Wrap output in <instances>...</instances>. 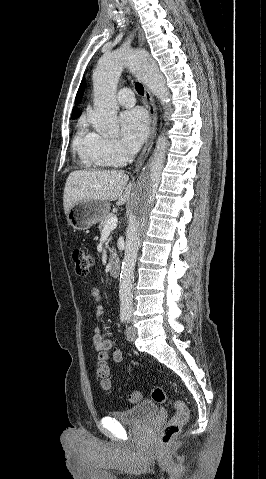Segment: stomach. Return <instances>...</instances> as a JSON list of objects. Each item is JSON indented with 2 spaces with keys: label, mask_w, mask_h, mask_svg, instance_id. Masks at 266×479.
Masks as SVG:
<instances>
[{
  "label": "stomach",
  "mask_w": 266,
  "mask_h": 479,
  "mask_svg": "<svg viewBox=\"0 0 266 479\" xmlns=\"http://www.w3.org/2000/svg\"><path fill=\"white\" fill-rule=\"evenodd\" d=\"M110 205L101 200H80L67 214L68 224L75 230L84 231L101 221L109 212Z\"/></svg>",
  "instance_id": "0dacf381"
}]
</instances>
